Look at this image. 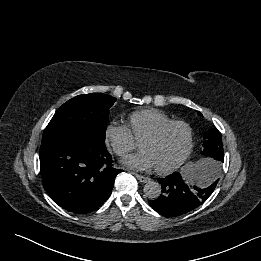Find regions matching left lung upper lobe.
Segmentation results:
<instances>
[{"mask_svg":"<svg viewBox=\"0 0 261 261\" xmlns=\"http://www.w3.org/2000/svg\"><path fill=\"white\" fill-rule=\"evenodd\" d=\"M198 114L201 115L200 112ZM204 139V151L202 153L210 157L209 163L221 166V163L224 161V152L220 132L214 128L205 134Z\"/></svg>","mask_w":261,"mask_h":261,"instance_id":"1","label":"left lung upper lobe"}]
</instances>
